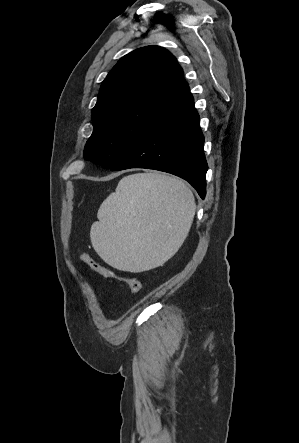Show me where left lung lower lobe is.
I'll return each mask as SVG.
<instances>
[{"label":"left lung lower lobe","mask_w":299,"mask_h":443,"mask_svg":"<svg viewBox=\"0 0 299 443\" xmlns=\"http://www.w3.org/2000/svg\"><path fill=\"white\" fill-rule=\"evenodd\" d=\"M203 144L188 86L111 170L147 168L171 173L188 181L204 199L208 166Z\"/></svg>","instance_id":"0a47b994"}]
</instances>
